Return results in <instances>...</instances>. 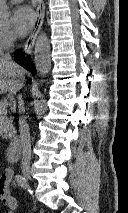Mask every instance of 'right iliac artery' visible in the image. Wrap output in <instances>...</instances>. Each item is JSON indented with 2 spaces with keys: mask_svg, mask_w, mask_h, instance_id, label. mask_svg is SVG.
<instances>
[{
  "mask_svg": "<svg viewBox=\"0 0 128 213\" xmlns=\"http://www.w3.org/2000/svg\"><path fill=\"white\" fill-rule=\"evenodd\" d=\"M15 180L21 188L27 189V187H28L27 181L22 175L17 174L15 176Z\"/></svg>",
  "mask_w": 128,
  "mask_h": 213,
  "instance_id": "1",
  "label": "right iliac artery"
}]
</instances>
